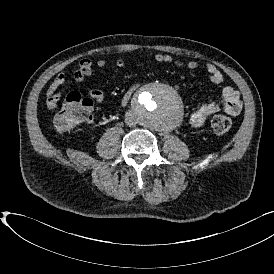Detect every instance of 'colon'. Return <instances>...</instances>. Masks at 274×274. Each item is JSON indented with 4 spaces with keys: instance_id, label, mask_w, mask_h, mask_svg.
<instances>
[{
    "instance_id": "obj_1",
    "label": "colon",
    "mask_w": 274,
    "mask_h": 274,
    "mask_svg": "<svg viewBox=\"0 0 274 274\" xmlns=\"http://www.w3.org/2000/svg\"><path fill=\"white\" fill-rule=\"evenodd\" d=\"M48 106V105H47ZM61 110L55 116L53 127L60 132L69 131L75 124L89 123L93 119V103L76 92L66 94L63 98L49 109ZM211 132L215 135H225L231 129V120L225 115H215L210 122Z\"/></svg>"
}]
</instances>
